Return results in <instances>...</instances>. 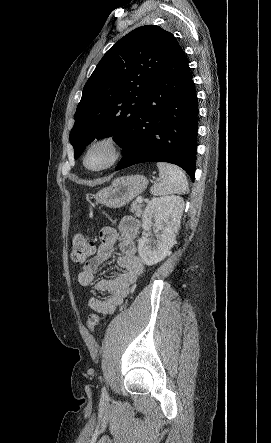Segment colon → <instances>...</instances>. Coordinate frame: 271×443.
Returning a JSON list of instances; mask_svg holds the SVG:
<instances>
[{"label":"colon","instance_id":"5ec220e1","mask_svg":"<svg viewBox=\"0 0 271 443\" xmlns=\"http://www.w3.org/2000/svg\"><path fill=\"white\" fill-rule=\"evenodd\" d=\"M70 258L74 265H82L87 262L95 251V243L84 234L72 236ZM88 327L92 332H96L99 325V317L96 313H90L87 318Z\"/></svg>","mask_w":271,"mask_h":443}]
</instances>
